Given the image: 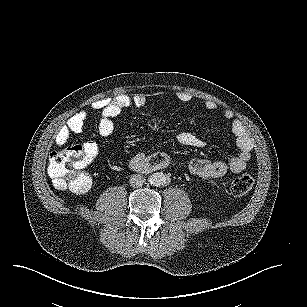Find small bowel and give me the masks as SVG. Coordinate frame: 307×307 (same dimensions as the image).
<instances>
[{
  "label": "small bowel",
  "instance_id": "small-bowel-1",
  "mask_svg": "<svg viewBox=\"0 0 307 307\" xmlns=\"http://www.w3.org/2000/svg\"><path fill=\"white\" fill-rule=\"evenodd\" d=\"M177 99L182 103L191 101L188 93L180 92ZM146 103V98L142 94L119 95L112 99H100L92 104V108L101 114L98 132L102 137H108L114 130V121L120 113L130 107H142ZM204 107L209 111H217L218 106L215 102L207 100ZM221 118L228 123L230 131L235 137L238 153L227 161H208L203 159H193L188 165V171L202 178H217L231 171L239 173L243 171L251 159L253 143L240 121L234 118L232 111L224 109L220 112ZM88 117V110L81 109L65 123L56 135V144L64 146L68 143L72 134H78L83 130L85 121ZM179 143L192 147H204L205 142L200 137L187 132L181 131L177 135ZM85 159L90 164L98 155L99 148L96 142L89 141L82 146ZM170 160L165 154H154L146 156L143 153L135 155L130 166L136 170L162 169L169 165Z\"/></svg>",
  "mask_w": 307,
  "mask_h": 307
}]
</instances>
